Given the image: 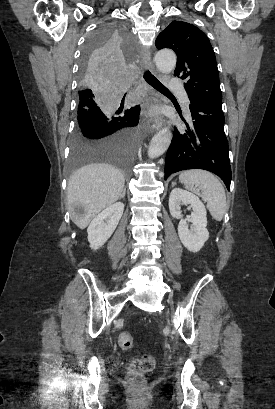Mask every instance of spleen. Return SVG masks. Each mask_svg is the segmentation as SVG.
Instances as JSON below:
<instances>
[{
    "mask_svg": "<svg viewBox=\"0 0 275 409\" xmlns=\"http://www.w3.org/2000/svg\"><path fill=\"white\" fill-rule=\"evenodd\" d=\"M180 182H184L186 188L200 194L202 200L207 202V209L215 221H222L226 213V194L220 180L208 172V170H184L179 174Z\"/></svg>",
    "mask_w": 275,
    "mask_h": 409,
    "instance_id": "obj_1",
    "label": "spleen"
}]
</instances>
